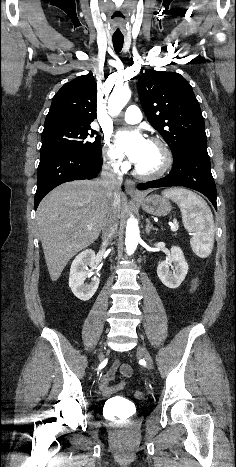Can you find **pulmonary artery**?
Instances as JSON below:
<instances>
[{
  "instance_id": "1",
  "label": "pulmonary artery",
  "mask_w": 236,
  "mask_h": 467,
  "mask_svg": "<svg viewBox=\"0 0 236 467\" xmlns=\"http://www.w3.org/2000/svg\"><path fill=\"white\" fill-rule=\"evenodd\" d=\"M122 119L129 124H135L142 119V114L136 105H130L122 115Z\"/></svg>"
}]
</instances>
